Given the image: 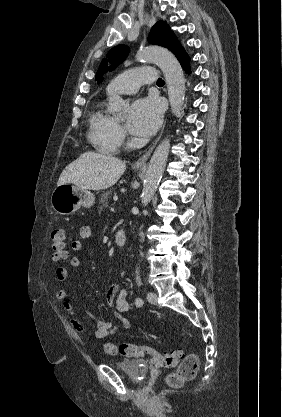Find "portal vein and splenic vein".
Segmentation results:
<instances>
[{
  "label": "portal vein and splenic vein",
  "mask_w": 282,
  "mask_h": 417,
  "mask_svg": "<svg viewBox=\"0 0 282 417\" xmlns=\"http://www.w3.org/2000/svg\"><path fill=\"white\" fill-rule=\"evenodd\" d=\"M113 198H114V200H117L118 199V196H113Z\"/></svg>",
  "instance_id": "18ae733b"
}]
</instances>
